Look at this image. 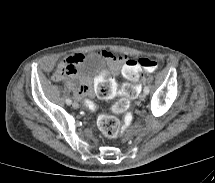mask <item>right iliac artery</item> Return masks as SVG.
I'll use <instances>...</instances> for the list:
<instances>
[{
	"instance_id": "obj_1",
	"label": "right iliac artery",
	"mask_w": 215,
	"mask_h": 183,
	"mask_svg": "<svg viewBox=\"0 0 215 183\" xmlns=\"http://www.w3.org/2000/svg\"><path fill=\"white\" fill-rule=\"evenodd\" d=\"M71 103H72V100L70 98L66 99V104L67 105H71Z\"/></svg>"
}]
</instances>
